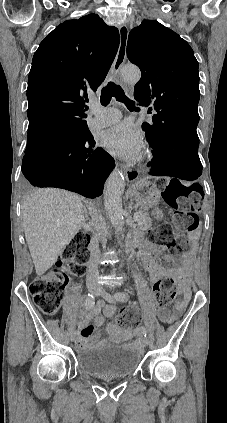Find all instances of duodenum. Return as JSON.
Wrapping results in <instances>:
<instances>
[{"label": "duodenum", "mask_w": 227, "mask_h": 423, "mask_svg": "<svg viewBox=\"0 0 227 423\" xmlns=\"http://www.w3.org/2000/svg\"><path fill=\"white\" fill-rule=\"evenodd\" d=\"M147 242H149V241H146V240L142 241V242L139 244V246L136 248V251H137L138 253L143 254V253L145 252V249H146V243H147Z\"/></svg>", "instance_id": "1"}]
</instances>
